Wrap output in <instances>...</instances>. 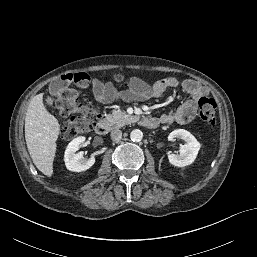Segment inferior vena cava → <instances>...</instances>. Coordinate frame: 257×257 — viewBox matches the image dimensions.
Instances as JSON below:
<instances>
[{"label": "inferior vena cava", "instance_id": "602c4592", "mask_svg": "<svg viewBox=\"0 0 257 257\" xmlns=\"http://www.w3.org/2000/svg\"><path fill=\"white\" fill-rule=\"evenodd\" d=\"M110 136L113 141H119L122 138V131L119 129L113 130Z\"/></svg>", "mask_w": 257, "mask_h": 257}]
</instances>
